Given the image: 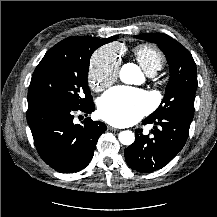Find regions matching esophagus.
<instances>
[{"mask_svg": "<svg viewBox=\"0 0 217 217\" xmlns=\"http://www.w3.org/2000/svg\"><path fill=\"white\" fill-rule=\"evenodd\" d=\"M107 129L110 130V131H117L116 128H114V127H112V126H110V125L107 126Z\"/></svg>", "mask_w": 217, "mask_h": 217, "instance_id": "34e87169", "label": "esophagus"}]
</instances>
